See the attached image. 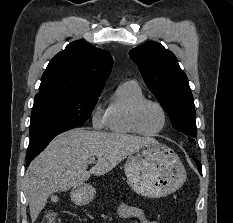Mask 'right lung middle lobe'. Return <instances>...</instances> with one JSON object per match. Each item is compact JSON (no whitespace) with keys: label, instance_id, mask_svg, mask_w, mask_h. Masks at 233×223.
Here are the masks:
<instances>
[{"label":"right lung middle lobe","instance_id":"obj_1","mask_svg":"<svg viewBox=\"0 0 233 223\" xmlns=\"http://www.w3.org/2000/svg\"><path fill=\"white\" fill-rule=\"evenodd\" d=\"M99 95L48 93L35 96L26 156L40 153L58 134L83 125L90 118Z\"/></svg>","mask_w":233,"mask_h":223}]
</instances>
